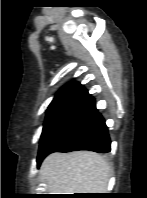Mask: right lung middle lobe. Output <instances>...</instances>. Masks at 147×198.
Masks as SVG:
<instances>
[{
	"label": "right lung middle lobe",
	"instance_id": "dd1d6c3e",
	"mask_svg": "<svg viewBox=\"0 0 147 198\" xmlns=\"http://www.w3.org/2000/svg\"><path fill=\"white\" fill-rule=\"evenodd\" d=\"M73 108L74 107L70 106L49 107L46 112V119L43 125V131L40 139V147L61 125V123L65 120V118L68 116Z\"/></svg>",
	"mask_w": 147,
	"mask_h": 198
}]
</instances>
